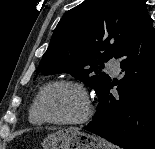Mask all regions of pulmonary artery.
Returning a JSON list of instances; mask_svg holds the SVG:
<instances>
[{
    "mask_svg": "<svg viewBox=\"0 0 155 149\" xmlns=\"http://www.w3.org/2000/svg\"><path fill=\"white\" fill-rule=\"evenodd\" d=\"M107 68L114 74H117L120 70V63L116 59H111L107 63Z\"/></svg>",
    "mask_w": 155,
    "mask_h": 149,
    "instance_id": "e3ab8cb5",
    "label": "pulmonary artery"
}]
</instances>
